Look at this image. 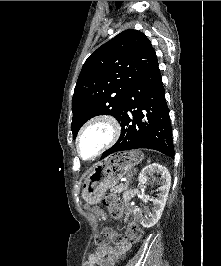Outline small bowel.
<instances>
[{"instance_id":"c3829d8e","label":"small bowel","mask_w":221,"mask_h":266,"mask_svg":"<svg viewBox=\"0 0 221 266\" xmlns=\"http://www.w3.org/2000/svg\"><path fill=\"white\" fill-rule=\"evenodd\" d=\"M131 242H124L112 247L97 248L86 260L84 266H115L121 256L132 247Z\"/></svg>"}]
</instances>
